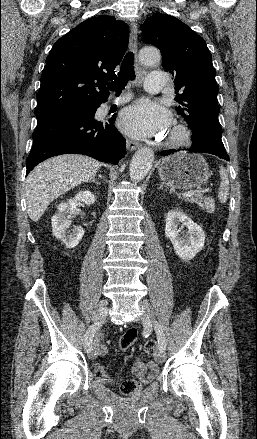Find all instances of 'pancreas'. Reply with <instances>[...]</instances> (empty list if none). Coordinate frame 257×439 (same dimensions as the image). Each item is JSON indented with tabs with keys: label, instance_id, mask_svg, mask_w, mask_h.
I'll return each mask as SVG.
<instances>
[{
	"label": "pancreas",
	"instance_id": "pancreas-1",
	"mask_svg": "<svg viewBox=\"0 0 257 439\" xmlns=\"http://www.w3.org/2000/svg\"><path fill=\"white\" fill-rule=\"evenodd\" d=\"M187 200L191 203L197 204L202 209L206 207V199L201 193H194L193 196L187 198Z\"/></svg>",
	"mask_w": 257,
	"mask_h": 439
}]
</instances>
